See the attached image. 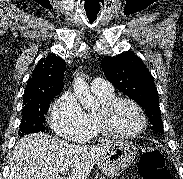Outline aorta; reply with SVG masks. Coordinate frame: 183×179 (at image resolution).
<instances>
[{
	"label": "aorta",
	"instance_id": "obj_1",
	"mask_svg": "<svg viewBox=\"0 0 183 179\" xmlns=\"http://www.w3.org/2000/svg\"><path fill=\"white\" fill-rule=\"evenodd\" d=\"M74 94L82 107L86 110L94 109L97 106V100L91 94L87 83L82 75H77L73 83Z\"/></svg>",
	"mask_w": 183,
	"mask_h": 179
}]
</instances>
